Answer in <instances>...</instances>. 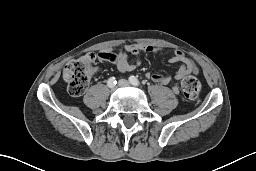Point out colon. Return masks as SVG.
<instances>
[{
  "instance_id": "5ec220e1",
  "label": "colon",
  "mask_w": 256,
  "mask_h": 171,
  "mask_svg": "<svg viewBox=\"0 0 256 171\" xmlns=\"http://www.w3.org/2000/svg\"><path fill=\"white\" fill-rule=\"evenodd\" d=\"M98 61L99 57L96 54L88 53L66 64L63 78L71 96L77 97L83 94ZM200 90L201 83L196 77L189 76L183 80L182 91L189 101L197 103Z\"/></svg>"
}]
</instances>
